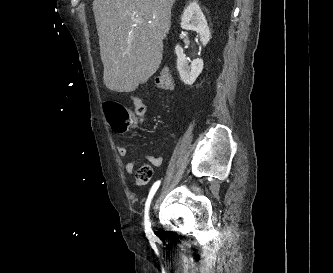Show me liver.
<instances>
[{"instance_id": "obj_1", "label": "liver", "mask_w": 333, "mask_h": 273, "mask_svg": "<svg viewBox=\"0 0 333 273\" xmlns=\"http://www.w3.org/2000/svg\"><path fill=\"white\" fill-rule=\"evenodd\" d=\"M175 0H93L105 86L132 92L156 73Z\"/></svg>"}]
</instances>
